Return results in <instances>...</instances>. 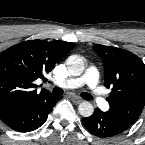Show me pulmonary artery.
Returning a JSON list of instances; mask_svg holds the SVG:
<instances>
[{"label":"pulmonary artery","mask_w":145,"mask_h":145,"mask_svg":"<svg viewBox=\"0 0 145 145\" xmlns=\"http://www.w3.org/2000/svg\"><path fill=\"white\" fill-rule=\"evenodd\" d=\"M98 82H99V72L95 67L91 66L87 69L86 73L82 77L57 80L55 84L57 86L68 89L78 88L85 84L88 86V90L93 100L99 106L106 107L107 101L105 100L102 91L98 86Z\"/></svg>","instance_id":"1"}]
</instances>
